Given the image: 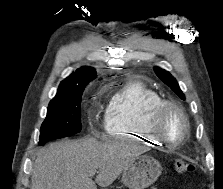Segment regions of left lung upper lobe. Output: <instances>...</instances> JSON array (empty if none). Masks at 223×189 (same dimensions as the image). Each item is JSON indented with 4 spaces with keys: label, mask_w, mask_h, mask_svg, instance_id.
<instances>
[{
    "label": "left lung upper lobe",
    "mask_w": 223,
    "mask_h": 189,
    "mask_svg": "<svg viewBox=\"0 0 223 189\" xmlns=\"http://www.w3.org/2000/svg\"><path fill=\"white\" fill-rule=\"evenodd\" d=\"M156 75L166 84L168 85L181 99H185L182 91L179 88L177 81L171 76L167 71L155 67L154 68Z\"/></svg>",
    "instance_id": "5c2ea615"
}]
</instances>
